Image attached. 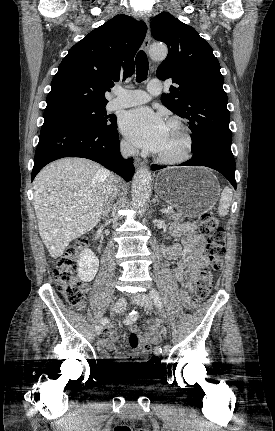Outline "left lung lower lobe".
<instances>
[{
    "label": "left lung lower lobe",
    "instance_id": "1",
    "mask_svg": "<svg viewBox=\"0 0 275 431\" xmlns=\"http://www.w3.org/2000/svg\"><path fill=\"white\" fill-rule=\"evenodd\" d=\"M206 166L213 168L223 174L226 179L236 189L235 180V160L230 144H211L202 146L194 150L192 158L180 166ZM153 170L163 168V166L153 164Z\"/></svg>",
    "mask_w": 275,
    "mask_h": 431
}]
</instances>
